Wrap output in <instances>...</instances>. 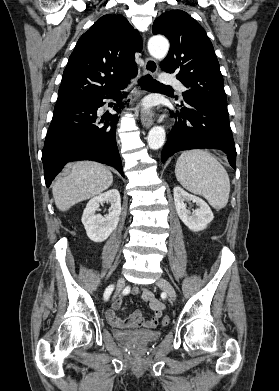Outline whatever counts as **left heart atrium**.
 <instances>
[{
    "instance_id": "1",
    "label": "left heart atrium",
    "mask_w": 279,
    "mask_h": 391,
    "mask_svg": "<svg viewBox=\"0 0 279 391\" xmlns=\"http://www.w3.org/2000/svg\"><path fill=\"white\" fill-rule=\"evenodd\" d=\"M145 107H148V103H145Z\"/></svg>"
}]
</instances>
